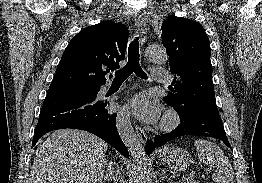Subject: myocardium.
Returning a JSON list of instances; mask_svg holds the SVG:
<instances>
[{
	"mask_svg": "<svg viewBox=\"0 0 262 183\" xmlns=\"http://www.w3.org/2000/svg\"><path fill=\"white\" fill-rule=\"evenodd\" d=\"M180 123V116L174 109H167L162 116L160 122V129L162 131H171L175 129Z\"/></svg>",
	"mask_w": 262,
	"mask_h": 183,
	"instance_id": "myocardium-1",
	"label": "myocardium"
}]
</instances>
